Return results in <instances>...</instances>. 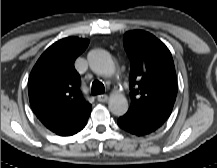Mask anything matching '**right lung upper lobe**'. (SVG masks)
Masks as SVG:
<instances>
[{
  "label": "right lung upper lobe",
  "mask_w": 217,
  "mask_h": 168,
  "mask_svg": "<svg viewBox=\"0 0 217 168\" xmlns=\"http://www.w3.org/2000/svg\"><path fill=\"white\" fill-rule=\"evenodd\" d=\"M89 40L68 37L52 44L40 56L28 80L31 108L37 118L59 136H71L84 128L91 113L80 91L75 59Z\"/></svg>",
  "instance_id": "1"
}]
</instances>
